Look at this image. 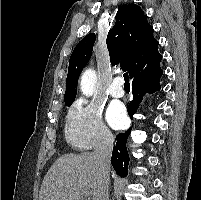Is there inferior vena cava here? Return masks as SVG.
I'll use <instances>...</instances> for the list:
<instances>
[{
	"label": "inferior vena cava",
	"mask_w": 201,
	"mask_h": 200,
	"mask_svg": "<svg viewBox=\"0 0 201 200\" xmlns=\"http://www.w3.org/2000/svg\"><path fill=\"white\" fill-rule=\"evenodd\" d=\"M114 144V137L111 133H106L100 138L95 147L94 155L101 172V180L97 191L96 200H109L110 184V159Z\"/></svg>",
	"instance_id": "obj_1"
}]
</instances>
